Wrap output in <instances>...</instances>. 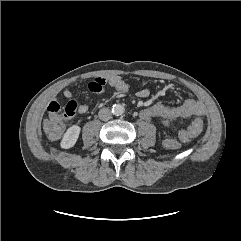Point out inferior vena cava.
<instances>
[{"mask_svg":"<svg viewBox=\"0 0 241 241\" xmlns=\"http://www.w3.org/2000/svg\"><path fill=\"white\" fill-rule=\"evenodd\" d=\"M98 115L101 120L107 121L112 117V112L109 108H102Z\"/></svg>","mask_w":241,"mask_h":241,"instance_id":"1","label":"inferior vena cava"}]
</instances>
